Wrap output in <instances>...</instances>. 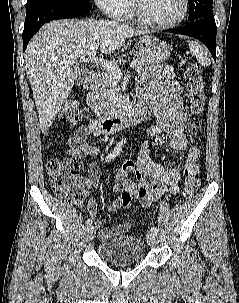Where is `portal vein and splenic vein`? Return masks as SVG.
Wrapping results in <instances>:
<instances>
[{"label": "portal vein and splenic vein", "mask_w": 239, "mask_h": 303, "mask_svg": "<svg viewBox=\"0 0 239 303\" xmlns=\"http://www.w3.org/2000/svg\"><path fill=\"white\" fill-rule=\"evenodd\" d=\"M97 49H98L97 45L91 46L90 51H89V57L88 58L81 57L79 61L80 62L94 63L96 65H100L107 72H109L114 79L119 80L123 75L121 70L117 66H115L113 63H111L109 61H106V60H103V59H100V58H97L95 56ZM141 65H142L141 62H139L137 60H133L130 64V67L131 68L132 67H138V66H141Z\"/></svg>", "instance_id": "18ae733b"}]
</instances>
